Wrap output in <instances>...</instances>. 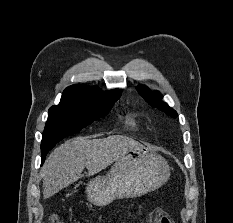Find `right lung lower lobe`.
<instances>
[{"label": "right lung lower lobe", "instance_id": "98d812e1", "mask_svg": "<svg viewBox=\"0 0 233 223\" xmlns=\"http://www.w3.org/2000/svg\"><path fill=\"white\" fill-rule=\"evenodd\" d=\"M41 151H42V150H41ZM48 151H49V150H47V151H45V152L42 153V163H43V161H44V159H45V156H46V154L48 153Z\"/></svg>", "mask_w": 233, "mask_h": 223}]
</instances>
